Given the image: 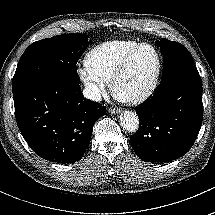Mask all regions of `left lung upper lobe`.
<instances>
[{"mask_svg": "<svg viewBox=\"0 0 215 215\" xmlns=\"http://www.w3.org/2000/svg\"><path fill=\"white\" fill-rule=\"evenodd\" d=\"M156 44L164 60L161 82L186 69L195 68L190 52L180 43L163 38Z\"/></svg>", "mask_w": 215, "mask_h": 215, "instance_id": "5c2ea615", "label": "left lung upper lobe"}]
</instances>
